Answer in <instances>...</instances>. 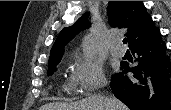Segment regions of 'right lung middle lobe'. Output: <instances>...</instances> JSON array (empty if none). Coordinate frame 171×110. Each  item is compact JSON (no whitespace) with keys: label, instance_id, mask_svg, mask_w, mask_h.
Segmentation results:
<instances>
[{"label":"right lung middle lobe","instance_id":"1","mask_svg":"<svg viewBox=\"0 0 171 110\" xmlns=\"http://www.w3.org/2000/svg\"><path fill=\"white\" fill-rule=\"evenodd\" d=\"M61 58L62 55L49 59V66L47 71L48 75H51L55 71L56 65L60 62Z\"/></svg>","mask_w":171,"mask_h":110}]
</instances>
